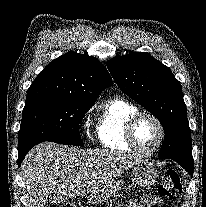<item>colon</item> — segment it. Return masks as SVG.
<instances>
[{
	"label": "colon",
	"instance_id": "colon-1",
	"mask_svg": "<svg viewBox=\"0 0 206 207\" xmlns=\"http://www.w3.org/2000/svg\"><path fill=\"white\" fill-rule=\"evenodd\" d=\"M158 194L170 200H176L181 196L182 185L179 174L175 170H167L163 173L157 187ZM62 207H72L67 204Z\"/></svg>",
	"mask_w": 206,
	"mask_h": 207
}]
</instances>
